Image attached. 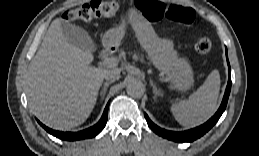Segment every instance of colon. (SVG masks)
Wrapping results in <instances>:
<instances>
[{
	"instance_id": "colon-1",
	"label": "colon",
	"mask_w": 259,
	"mask_h": 156,
	"mask_svg": "<svg viewBox=\"0 0 259 156\" xmlns=\"http://www.w3.org/2000/svg\"><path fill=\"white\" fill-rule=\"evenodd\" d=\"M138 9L150 21L167 19L183 26H190L195 22L196 16L192 9L180 5L166 6L154 0H138ZM119 11V5L113 0H93L68 10L64 18L70 22L87 21L96 18L114 17ZM210 39L202 34L195 44V50L205 55L211 50Z\"/></svg>"
}]
</instances>
